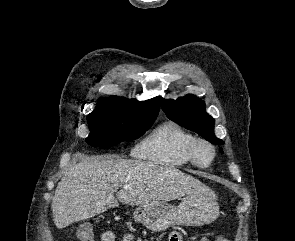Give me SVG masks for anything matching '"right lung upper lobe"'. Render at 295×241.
I'll list each match as a JSON object with an SVG mask.
<instances>
[{
	"label": "right lung upper lobe",
	"mask_w": 295,
	"mask_h": 241,
	"mask_svg": "<svg viewBox=\"0 0 295 241\" xmlns=\"http://www.w3.org/2000/svg\"><path fill=\"white\" fill-rule=\"evenodd\" d=\"M108 99L122 102L129 107L137 108L139 110L145 111L150 114H154L156 116L158 115V112H159L160 105H159L158 97H155L146 101H137L135 99H127V98L118 97V96H113Z\"/></svg>",
	"instance_id": "right-lung-upper-lobe-1"
}]
</instances>
